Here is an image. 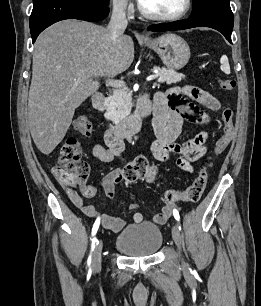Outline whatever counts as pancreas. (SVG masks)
<instances>
[{"instance_id": "1", "label": "pancreas", "mask_w": 261, "mask_h": 306, "mask_svg": "<svg viewBox=\"0 0 261 306\" xmlns=\"http://www.w3.org/2000/svg\"><path fill=\"white\" fill-rule=\"evenodd\" d=\"M158 71V82L175 84L185 78V75L174 70L154 67ZM131 96L126 87L115 89L105 100L106 117L114 123H120L130 114Z\"/></svg>"}]
</instances>
